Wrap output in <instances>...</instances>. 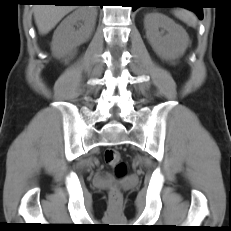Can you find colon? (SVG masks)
Returning <instances> with one entry per match:
<instances>
[{
	"mask_svg": "<svg viewBox=\"0 0 231 231\" xmlns=\"http://www.w3.org/2000/svg\"><path fill=\"white\" fill-rule=\"evenodd\" d=\"M106 163L114 169L115 175L118 178H122L126 175L127 168L126 164L122 160L120 153L113 149L108 148L104 153ZM110 197L113 201H117L120 198V192L114 188L110 191Z\"/></svg>",
	"mask_w": 231,
	"mask_h": 231,
	"instance_id": "1",
	"label": "colon"
}]
</instances>
